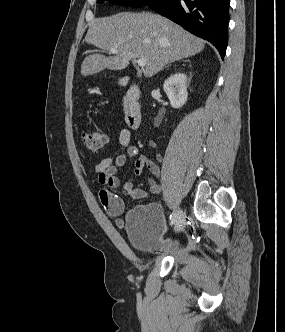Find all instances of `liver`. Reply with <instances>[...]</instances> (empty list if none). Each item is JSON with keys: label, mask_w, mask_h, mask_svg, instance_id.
Wrapping results in <instances>:
<instances>
[{"label": "liver", "mask_w": 285, "mask_h": 332, "mask_svg": "<svg viewBox=\"0 0 285 332\" xmlns=\"http://www.w3.org/2000/svg\"><path fill=\"white\" fill-rule=\"evenodd\" d=\"M85 42L116 54L106 57L87 56L81 65V75L89 76L104 69L122 70L133 58H144L145 77H152L167 64L188 58L204 49V41L169 19L150 12H122L94 20Z\"/></svg>", "instance_id": "obj_1"}]
</instances>
